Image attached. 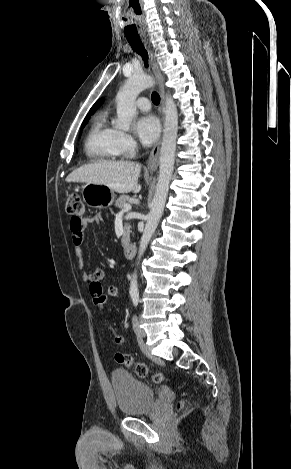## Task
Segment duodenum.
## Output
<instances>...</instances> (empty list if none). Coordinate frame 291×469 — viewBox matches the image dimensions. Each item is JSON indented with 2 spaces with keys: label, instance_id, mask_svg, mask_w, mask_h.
Here are the masks:
<instances>
[{
  "label": "duodenum",
  "instance_id": "duodenum-1",
  "mask_svg": "<svg viewBox=\"0 0 291 469\" xmlns=\"http://www.w3.org/2000/svg\"><path fill=\"white\" fill-rule=\"evenodd\" d=\"M136 245L135 244H126L124 246V255L126 258L131 259L136 255Z\"/></svg>",
  "mask_w": 291,
  "mask_h": 469
}]
</instances>
